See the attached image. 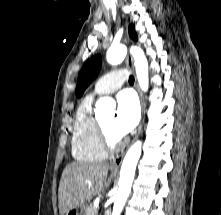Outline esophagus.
I'll list each match as a JSON object with an SVG mask.
<instances>
[{"label": "esophagus", "instance_id": "obj_1", "mask_svg": "<svg viewBox=\"0 0 221 215\" xmlns=\"http://www.w3.org/2000/svg\"><path fill=\"white\" fill-rule=\"evenodd\" d=\"M126 63H127V66L128 68L134 72V63H133V58L130 54L127 55V58H126ZM135 87L138 91V94H139V99H140V105H141V120H140V123H139V126H138V129H137V132H136V135L133 139V141L138 137V135L140 134L141 132V129H142V126H143V123H144V118H145V106H144V102H143V98H142V94H141V91L139 89V86H138V82L135 78ZM124 155H125V152H121L119 155L116 156L115 159H113L112 163H111V167L112 168H118L122 161H123V158H124Z\"/></svg>", "mask_w": 221, "mask_h": 215}]
</instances>
